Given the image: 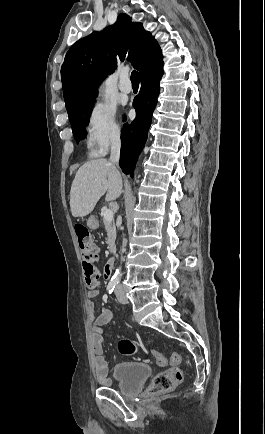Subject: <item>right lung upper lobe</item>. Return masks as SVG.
Segmentation results:
<instances>
[{
	"label": "right lung upper lobe",
	"mask_w": 265,
	"mask_h": 434,
	"mask_svg": "<svg viewBox=\"0 0 265 434\" xmlns=\"http://www.w3.org/2000/svg\"><path fill=\"white\" fill-rule=\"evenodd\" d=\"M160 54L156 40L141 23L119 14L114 25L78 40L67 52L61 69L65 103L97 92L118 59L130 61L140 71L143 62Z\"/></svg>",
	"instance_id": "cb5924a9"
}]
</instances>
